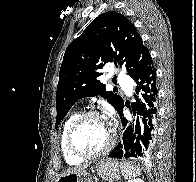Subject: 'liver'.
Segmentation results:
<instances>
[{
	"mask_svg": "<svg viewBox=\"0 0 196 182\" xmlns=\"http://www.w3.org/2000/svg\"><path fill=\"white\" fill-rule=\"evenodd\" d=\"M86 169V166L84 167H75V168H72L70 170H68L66 173H81L83 171H85Z\"/></svg>",
	"mask_w": 196,
	"mask_h": 182,
	"instance_id": "obj_1",
	"label": "liver"
}]
</instances>
